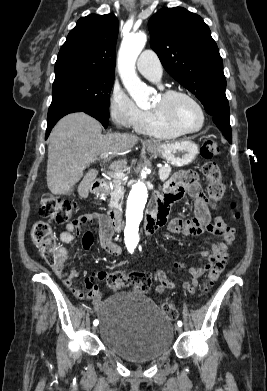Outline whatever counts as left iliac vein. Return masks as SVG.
Returning <instances> with one entry per match:
<instances>
[{"label":"left iliac vein","instance_id":"4c4485c4","mask_svg":"<svg viewBox=\"0 0 267 391\" xmlns=\"http://www.w3.org/2000/svg\"><path fill=\"white\" fill-rule=\"evenodd\" d=\"M175 330L180 333L182 331V328L180 326H176Z\"/></svg>","mask_w":267,"mask_h":391}]
</instances>
